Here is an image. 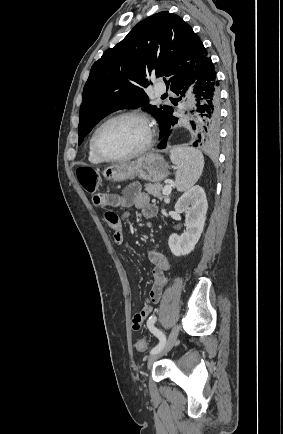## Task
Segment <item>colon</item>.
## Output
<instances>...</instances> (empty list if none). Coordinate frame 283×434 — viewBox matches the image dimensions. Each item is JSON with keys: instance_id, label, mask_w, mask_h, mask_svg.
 <instances>
[{"instance_id": "1", "label": "colon", "mask_w": 283, "mask_h": 434, "mask_svg": "<svg viewBox=\"0 0 283 434\" xmlns=\"http://www.w3.org/2000/svg\"><path fill=\"white\" fill-rule=\"evenodd\" d=\"M77 178L81 186L89 193H94L98 188V173L92 168H79L77 170ZM135 347L138 351L143 352L147 349L146 338L137 340Z\"/></svg>"}]
</instances>
